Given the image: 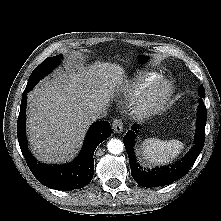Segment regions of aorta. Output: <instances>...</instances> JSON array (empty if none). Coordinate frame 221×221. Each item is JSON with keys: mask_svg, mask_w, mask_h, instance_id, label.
Segmentation results:
<instances>
[{"mask_svg": "<svg viewBox=\"0 0 221 221\" xmlns=\"http://www.w3.org/2000/svg\"><path fill=\"white\" fill-rule=\"evenodd\" d=\"M107 148L110 153L116 155V154H120L123 151L124 145L121 140L112 138L107 143Z\"/></svg>", "mask_w": 221, "mask_h": 221, "instance_id": "aorta-1", "label": "aorta"}]
</instances>
